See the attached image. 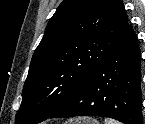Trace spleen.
<instances>
[{"instance_id":"1","label":"spleen","mask_w":145,"mask_h":124,"mask_svg":"<svg viewBox=\"0 0 145 124\" xmlns=\"http://www.w3.org/2000/svg\"><path fill=\"white\" fill-rule=\"evenodd\" d=\"M105 124H120V123H118L117 121H114L112 119H106Z\"/></svg>"}]
</instances>
